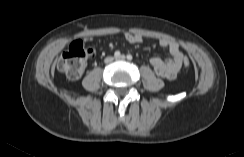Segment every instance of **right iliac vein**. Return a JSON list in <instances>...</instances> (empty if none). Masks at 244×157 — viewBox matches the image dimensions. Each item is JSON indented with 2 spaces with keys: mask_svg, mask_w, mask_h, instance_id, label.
I'll use <instances>...</instances> for the list:
<instances>
[{
  "mask_svg": "<svg viewBox=\"0 0 244 157\" xmlns=\"http://www.w3.org/2000/svg\"><path fill=\"white\" fill-rule=\"evenodd\" d=\"M112 61H113V57L110 56L105 59V63L107 64L111 63Z\"/></svg>",
  "mask_w": 244,
  "mask_h": 157,
  "instance_id": "right-iliac-vein-1",
  "label": "right iliac vein"
}]
</instances>
